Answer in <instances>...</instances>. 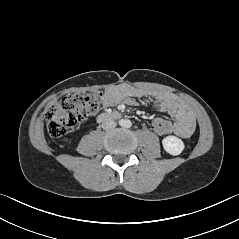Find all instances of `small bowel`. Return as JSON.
Wrapping results in <instances>:
<instances>
[{"label":"small bowel","instance_id":"obj_1","mask_svg":"<svg viewBox=\"0 0 239 239\" xmlns=\"http://www.w3.org/2000/svg\"><path fill=\"white\" fill-rule=\"evenodd\" d=\"M139 98L148 99L154 109L167 113L173 119L170 121L172 128L168 134L189 138L194 133L196 128L194 114L174 95L167 92L149 91L129 85L113 86L105 91L103 106L108 108L120 103L134 104Z\"/></svg>","mask_w":239,"mask_h":239}]
</instances>
